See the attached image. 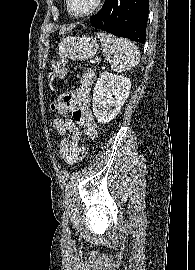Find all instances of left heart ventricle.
I'll list each match as a JSON object with an SVG mask.
<instances>
[{"label":"left heart ventricle","instance_id":"b2bd125f","mask_svg":"<svg viewBox=\"0 0 195 270\" xmlns=\"http://www.w3.org/2000/svg\"><path fill=\"white\" fill-rule=\"evenodd\" d=\"M96 0H70L71 10L76 14H83L89 11Z\"/></svg>","mask_w":195,"mask_h":270}]
</instances>
